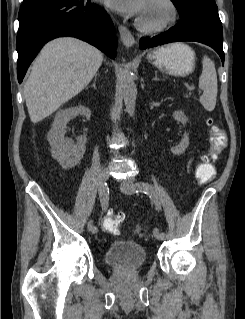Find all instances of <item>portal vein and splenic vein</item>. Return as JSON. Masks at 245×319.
Returning <instances> with one entry per match:
<instances>
[{"instance_id": "18ae733b", "label": "portal vein and splenic vein", "mask_w": 245, "mask_h": 319, "mask_svg": "<svg viewBox=\"0 0 245 319\" xmlns=\"http://www.w3.org/2000/svg\"><path fill=\"white\" fill-rule=\"evenodd\" d=\"M190 89H191V90H193V89H194V87H193V86H191V87H190Z\"/></svg>"}]
</instances>
